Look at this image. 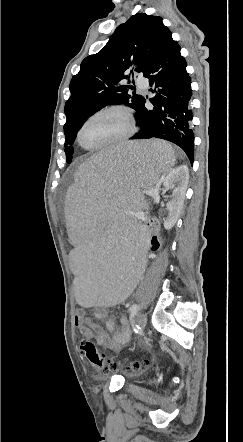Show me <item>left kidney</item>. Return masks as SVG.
<instances>
[{
	"label": "left kidney",
	"instance_id": "obj_1",
	"mask_svg": "<svg viewBox=\"0 0 243 442\" xmlns=\"http://www.w3.org/2000/svg\"><path fill=\"white\" fill-rule=\"evenodd\" d=\"M189 180V169L186 165H180L170 171L163 181L165 187H171L174 183L178 186L173 190L171 200L167 203V216L164 219V228L170 230L177 222L183 208L185 191Z\"/></svg>",
	"mask_w": 243,
	"mask_h": 442
}]
</instances>
